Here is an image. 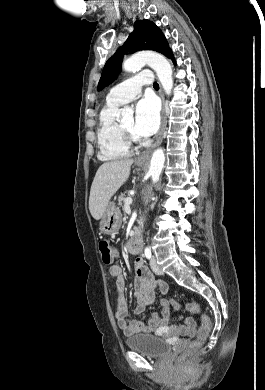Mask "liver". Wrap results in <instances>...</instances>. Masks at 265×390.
Here are the masks:
<instances>
[{
  "label": "liver",
  "instance_id": "obj_1",
  "mask_svg": "<svg viewBox=\"0 0 265 390\" xmlns=\"http://www.w3.org/2000/svg\"><path fill=\"white\" fill-rule=\"evenodd\" d=\"M133 162V159L114 160L98 168L89 197V210L95 220L101 219L111 197L128 180Z\"/></svg>",
  "mask_w": 265,
  "mask_h": 390
}]
</instances>
